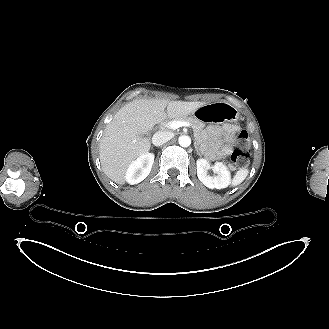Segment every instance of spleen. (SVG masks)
Returning <instances> with one entry per match:
<instances>
[{"label":"spleen","instance_id":"obj_1","mask_svg":"<svg viewBox=\"0 0 329 329\" xmlns=\"http://www.w3.org/2000/svg\"><path fill=\"white\" fill-rule=\"evenodd\" d=\"M248 173H249L248 169L238 170L233 178L232 185L237 186L240 183H242L245 180V178L248 176Z\"/></svg>","mask_w":329,"mask_h":329}]
</instances>
